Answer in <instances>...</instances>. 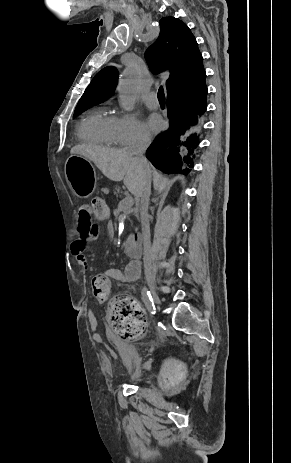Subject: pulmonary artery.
I'll return each instance as SVG.
<instances>
[{"label": "pulmonary artery", "instance_id": "pulmonary-artery-1", "mask_svg": "<svg viewBox=\"0 0 291 463\" xmlns=\"http://www.w3.org/2000/svg\"><path fill=\"white\" fill-rule=\"evenodd\" d=\"M145 103L150 108H157L159 106L157 94L155 92L147 94L145 97Z\"/></svg>", "mask_w": 291, "mask_h": 463}]
</instances>
